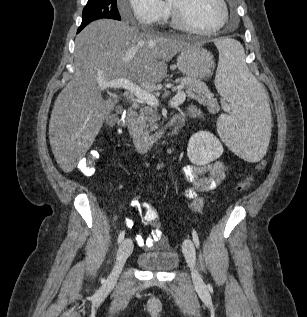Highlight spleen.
Masks as SVG:
<instances>
[{
	"label": "spleen",
	"instance_id": "1",
	"mask_svg": "<svg viewBox=\"0 0 307 317\" xmlns=\"http://www.w3.org/2000/svg\"><path fill=\"white\" fill-rule=\"evenodd\" d=\"M211 47L219 50L215 86L233 109L230 115L219 118L218 133L240 160H261L269 149L267 139H271L272 107L266 99V86L250 73L238 40L216 37Z\"/></svg>",
	"mask_w": 307,
	"mask_h": 317
}]
</instances>
